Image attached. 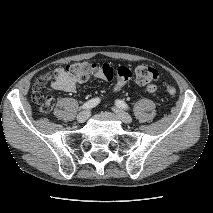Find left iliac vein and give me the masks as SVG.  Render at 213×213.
<instances>
[{"label":"left iliac vein","mask_w":213,"mask_h":213,"mask_svg":"<svg viewBox=\"0 0 213 213\" xmlns=\"http://www.w3.org/2000/svg\"><path fill=\"white\" fill-rule=\"evenodd\" d=\"M112 109L122 122L126 124H129L132 122L131 116L127 112L122 110L121 108L113 107Z\"/></svg>","instance_id":"1"}]
</instances>
